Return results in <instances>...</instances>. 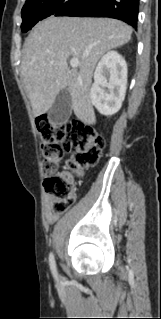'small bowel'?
<instances>
[{
	"mask_svg": "<svg viewBox=\"0 0 161 319\" xmlns=\"http://www.w3.org/2000/svg\"><path fill=\"white\" fill-rule=\"evenodd\" d=\"M52 197L46 196L45 197V215L48 223L53 224L57 221L58 217L51 212V203H52Z\"/></svg>",
	"mask_w": 161,
	"mask_h": 319,
	"instance_id": "1",
	"label": "small bowel"
}]
</instances>
